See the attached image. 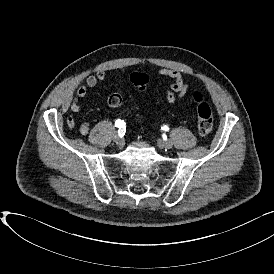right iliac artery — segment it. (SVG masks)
<instances>
[{"mask_svg": "<svg viewBox=\"0 0 274 274\" xmlns=\"http://www.w3.org/2000/svg\"><path fill=\"white\" fill-rule=\"evenodd\" d=\"M115 126H116L117 128H119L118 134H119L120 138H122V137L125 135V132H126L125 122L122 121V120H120V119H118V120H116V122H115Z\"/></svg>", "mask_w": 274, "mask_h": 274, "instance_id": "right-iliac-artery-1", "label": "right iliac artery"}]
</instances>
